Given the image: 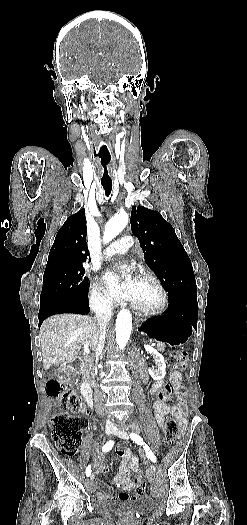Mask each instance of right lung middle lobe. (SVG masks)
Segmentation results:
<instances>
[{"label": "right lung middle lobe", "instance_id": "1", "mask_svg": "<svg viewBox=\"0 0 247 525\" xmlns=\"http://www.w3.org/2000/svg\"><path fill=\"white\" fill-rule=\"evenodd\" d=\"M84 273L83 267L45 271L40 308L54 301L85 300L88 278Z\"/></svg>", "mask_w": 247, "mask_h": 525}]
</instances>
